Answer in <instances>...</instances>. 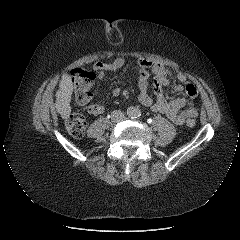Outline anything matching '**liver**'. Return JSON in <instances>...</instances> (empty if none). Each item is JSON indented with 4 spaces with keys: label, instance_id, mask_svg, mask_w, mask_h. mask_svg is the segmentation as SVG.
I'll return each mask as SVG.
<instances>
[{
    "label": "liver",
    "instance_id": "liver-1",
    "mask_svg": "<svg viewBox=\"0 0 240 240\" xmlns=\"http://www.w3.org/2000/svg\"><path fill=\"white\" fill-rule=\"evenodd\" d=\"M73 93V83L68 74H63L59 83V90L56 92V111L63 119L67 118L71 113V98Z\"/></svg>",
    "mask_w": 240,
    "mask_h": 240
}]
</instances>
